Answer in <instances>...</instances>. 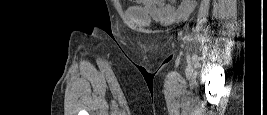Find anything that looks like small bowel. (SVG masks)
<instances>
[{
    "mask_svg": "<svg viewBox=\"0 0 267 115\" xmlns=\"http://www.w3.org/2000/svg\"><path fill=\"white\" fill-rule=\"evenodd\" d=\"M195 3H182L178 7H173L164 0H142L137 9H144L150 15L160 19H183L194 9Z\"/></svg>",
    "mask_w": 267,
    "mask_h": 115,
    "instance_id": "c3829d8e",
    "label": "small bowel"
}]
</instances>
